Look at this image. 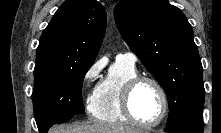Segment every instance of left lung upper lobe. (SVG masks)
I'll return each instance as SVG.
<instances>
[{
  "instance_id": "5c2ea615",
  "label": "left lung upper lobe",
  "mask_w": 221,
  "mask_h": 133,
  "mask_svg": "<svg viewBox=\"0 0 221 133\" xmlns=\"http://www.w3.org/2000/svg\"><path fill=\"white\" fill-rule=\"evenodd\" d=\"M114 17L127 45L167 95V125L202 110V64L182 11L168 0H123L115 6Z\"/></svg>"
}]
</instances>
